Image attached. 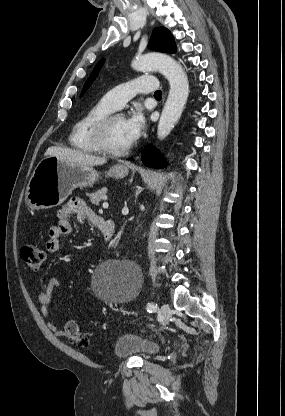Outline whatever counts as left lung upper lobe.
<instances>
[{
	"instance_id": "5c2ea615",
	"label": "left lung upper lobe",
	"mask_w": 285,
	"mask_h": 416,
	"mask_svg": "<svg viewBox=\"0 0 285 416\" xmlns=\"http://www.w3.org/2000/svg\"><path fill=\"white\" fill-rule=\"evenodd\" d=\"M148 48L154 51L163 52V53H175L176 44L171 32L164 27H157L153 30L151 39L148 44ZM103 59L95 66L91 75L84 84L81 96L86 92L91 83L94 81L98 72L103 64Z\"/></svg>"
}]
</instances>
